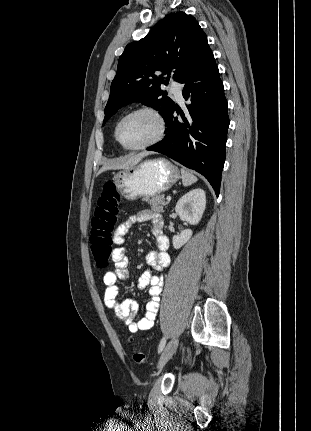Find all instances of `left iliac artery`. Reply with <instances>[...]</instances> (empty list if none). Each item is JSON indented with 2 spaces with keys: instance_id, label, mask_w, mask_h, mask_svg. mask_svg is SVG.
<instances>
[{
  "instance_id": "1",
  "label": "left iliac artery",
  "mask_w": 311,
  "mask_h": 431,
  "mask_svg": "<svg viewBox=\"0 0 311 431\" xmlns=\"http://www.w3.org/2000/svg\"><path fill=\"white\" fill-rule=\"evenodd\" d=\"M165 344H166V338L163 337L159 344L158 353H160L163 350V348L165 347Z\"/></svg>"
}]
</instances>
